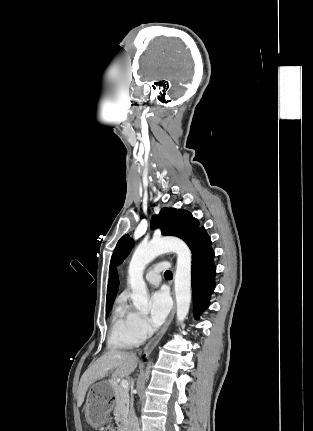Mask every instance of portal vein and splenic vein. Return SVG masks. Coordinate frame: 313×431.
I'll return each mask as SVG.
<instances>
[{"label": "portal vein and splenic vein", "instance_id": "obj_1", "mask_svg": "<svg viewBox=\"0 0 313 431\" xmlns=\"http://www.w3.org/2000/svg\"><path fill=\"white\" fill-rule=\"evenodd\" d=\"M121 387L124 388V389H128L129 382L127 380H122L121 381Z\"/></svg>", "mask_w": 313, "mask_h": 431}]
</instances>
